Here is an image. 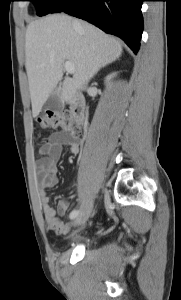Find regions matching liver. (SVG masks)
Segmentation results:
<instances>
[{"mask_svg": "<svg viewBox=\"0 0 181 300\" xmlns=\"http://www.w3.org/2000/svg\"><path fill=\"white\" fill-rule=\"evenodd\" d=\"M121 54L117 39L85 21L53 14L31 22L26 30L25 55L33 117L53 93L62 103L72 101L100 68ZM66 61L74 65L75 73L61 83Z\"/></svg>", "mask_w": 181, "mask_h": 300, "instance_id": "obj_1", "label": "liver"}]
</instances>
